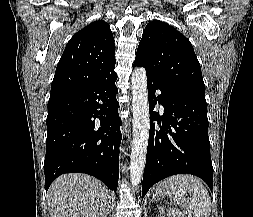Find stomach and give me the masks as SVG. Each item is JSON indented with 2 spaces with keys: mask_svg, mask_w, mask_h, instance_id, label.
Here are the masks:
<instances>
[{
  "mask_svg": "<svg viewBox=\"0 0 253 217\" xmlns=\"http://www.w3.org/2000/svg\"><path fill=\"white\" fill-rule=\"evenodd\" d=\"M169 195L172 198V189L168 183V181H162L155 187L154 196L165 197Z\"/></svg>",
  "mask_w": 253,
  "mask_h": 217,
  "instance_id": "1",
  "label": "stomach"
}]
</instances>
